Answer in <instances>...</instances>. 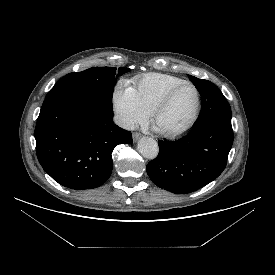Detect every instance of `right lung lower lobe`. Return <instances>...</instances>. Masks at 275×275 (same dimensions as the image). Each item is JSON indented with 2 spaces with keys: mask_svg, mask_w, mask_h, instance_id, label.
Wrapping results in <instances>:
<instances>
[{
  "mask_svg": "<svg viewBox=\"0 0 275 275\" xmlns=\"http://www.w3.org/2000/svg\"><path fill=\"white\" fill-rule=\"evenodd\" d=\"M35 139L43 169L59 184L83 190L107 181L113 149L131 144L132 134L113 123L112 107L78 95L44 101Z\"/></svg>",
  "mask_w": 275,
  "mask_h": 275,
  "instance_id": "98d812e1",
  "label": "right lung lower lobe"
}]
</instances>
